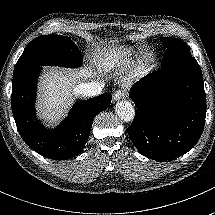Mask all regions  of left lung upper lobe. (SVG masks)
I'll list each match as a JSON object with an SVG mask.
<instances>
[{
    "label": "left lung upper lobe",
    "instance_id": "left-lung-upper-lobe-1",
    "mask_svg": "<svg viewBox=\"0 0 215 215\" xmlns=\"http://www.w3.org/2000/svg\"><path fill=\"white\" fill-rule=\"evenodd\" d=\"M163 46L166 48L164 53L161 68L171 65L175 62L194 58L191 55L190 47L179 39L173 37L161 38Z\"/></svg>",
    "mask_w": 215,
    "mask_h": 215
}]
</instances>
